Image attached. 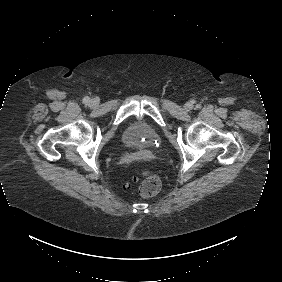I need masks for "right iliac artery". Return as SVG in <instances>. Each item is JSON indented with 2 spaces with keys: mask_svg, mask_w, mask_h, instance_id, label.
<instances>
[{
  "mask_svg": "<svg viewBox=\"0 0 282 282\" xmlns=\"http://www.w3.org/2000/svg\"><path fill=\"white\" fill-rule=\"evenodd\" d=\"M83 102L86 103V104H88V103L90 102V98H89V97H85V98L83 99Z\"/></svg>",
  "mask_w": 282,
  "mask_h": 282,
  "instance_id": "82829eb1",
  "label": "right iliac artery"
}]
</instances>
